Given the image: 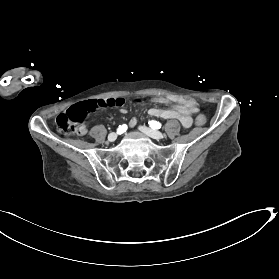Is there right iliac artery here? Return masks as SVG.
I'll return each instance as SVG.
<instances>
[{
    "label": "right iliac artery",
    "mask_w": 279,
    "mask_h": 279,
    "mask_svg": "<svg viewBox=\"0 0 279 279\" xmlns=\"http://www.w3.org/2000/svg\"><path fill=\"white\" fill-rule=\"evenodd\" d=\"M126 130H127V125L123 124V125H120V126L118 127L117 133H118V134H122V133L126 132Z\"/></svg>",
    "instance_id": "82829eb1"
}]
</instances>
